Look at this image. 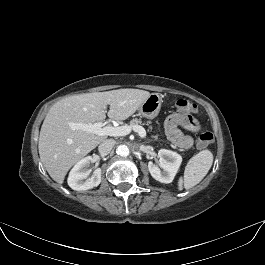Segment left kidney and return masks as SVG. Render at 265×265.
<instances>
[{
    "mask_svg": "<svg viewBox=\"0 0 265 265\" xmlns=\"http://www.w3.org/2000/svg\"><path fill=\"white\" fill-rule=\"evenodd\" d=\"M158 158V166L151 161L148 163L151 176L161 183H171L181 165L182 157L171 150L161 149Z\"/></svg>",
    "mask_w": 265,
    "mask_h": 265,
    "instance_id": "1",
    "label": "left kidney"
}]
</instances>
